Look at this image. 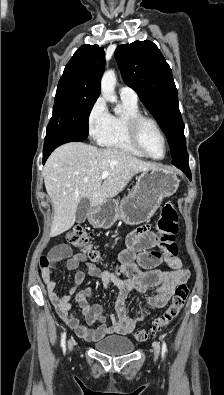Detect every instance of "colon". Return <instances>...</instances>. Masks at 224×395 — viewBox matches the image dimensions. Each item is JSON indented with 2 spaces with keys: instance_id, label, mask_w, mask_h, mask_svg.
I'll return each instance as SVG.
<instances>
[{
  "instance_id": "5ec220e1",
  "label": "colon",
  "mask_w": 224,
  "mask_h": 395,
  "mask_svg": "<svg viewBox=\"0 0 224 395\" xmlns=\"http://www.w3.org/2000/svg\"><path fill=\"white\" fill-rule=\"evenodd\" d=\"M158 230L161 233V249L166 255L174 256L177 253V246L174 241L175 235L178 232V214L172 203H166L162 207L158 221ZM66 240L74 247L81 249L92 262H99L101 260L99 252L91 242L90 235L84 228H72L66 233ZM40 265L42 268H48L51 265V260L47 257H42ZM188 294V285L186 283H180L174 291L169 307L154 320L149 328L137 330L135 332V339L139 342L146 341L150 335L155 334L158 330L173 322L185 304Z\"/></svg>"
}]
</instances>
